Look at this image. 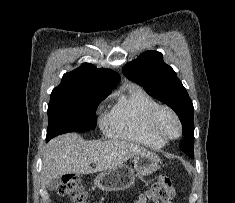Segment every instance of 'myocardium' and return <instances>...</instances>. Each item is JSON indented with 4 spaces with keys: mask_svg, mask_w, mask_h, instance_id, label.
Returning <instances> with one entry per match:
<instances>
[{
    "mask_svg": "<svg viewBox=\"0 0 235 203\" xmlns=\"http://www.w3.org/2000/svg\"><path fill=\"white\" fill-rule=\"evenodd\" d=\"M168 113L172 116V118L174 119V121L177 124V132L174 135H167L162 133L161 131L158 130L157 128V121L160 117V115L162 113ZM147 130L148 132L156 137L157 139L163 141V142H168V141H172L175 140L177 138H179L182 134V122L178 116V114L169 106L166 105H158L156 108H154L147 119Z\"/></svg>",
    "mask_w": 235,
    "mask_h": 203,
    "instance_id": "obj_1",
    "label": "myocardium"
}]
</instances>
